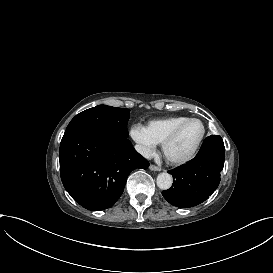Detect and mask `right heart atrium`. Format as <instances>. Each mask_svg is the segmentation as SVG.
<instances>
[{
    "label": "right heart atrium",
    "mask_w": 273,
    "mask_h": 273,
    "mask_svg": "<svg viewBox=\"0 0 273 273\" xmlns=\"http://www.w3.org/2000/svg\"><path fill=\"white\" fill-rule=\"evenodd\" d=\"M130 136L136 143L138 151L146 157L153 154L156 143L148 135L146 128L140 124H134L130 128Z\"/></svg>",
    "instance_id": "right-heart-atrium-1"
}]
</instances>
